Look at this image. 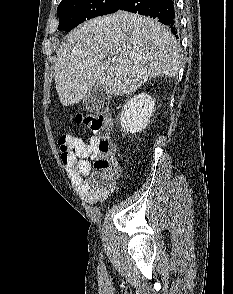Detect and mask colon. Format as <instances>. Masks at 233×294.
I'll use <instances>...</instances> for the list:
<instances>
[{"instance_id":"colon-1","label":"colon","mask_w":233,"mask_h":294,"mask_svg":"<svg viewBox=\"0 0 233 294\" xmlns=\"http://www.w3.org/2000/svg\"><path fill=\"white\" fill-rule=\"evenodd\" d=\"M73 121L83 124L93 135L94 146L92 151L93 174L91 181L97 186H107L118 174V164L114 159V145L106 136L108 120L102 115L83 112L75 113ZM61 158L68 155V147L63 139L58 140Z\"/></svg>"}]
</instances>
